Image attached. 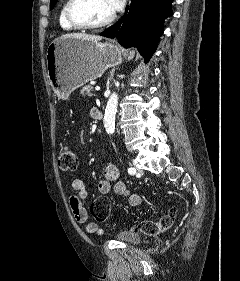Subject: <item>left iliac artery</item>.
<instances>
[{"mask_svg": "<svg viewBox=\"0 0 240 281\" xmlns=\"http://www.w3.org/2000/svg\"><path fill=\"white\" fill-rule=\"evenodd\" d=\"M128 173L131 174V175H134L136 173V169L135 168H128Z\"/></svg>", "mask_w": 240, "mask_h": 281, "instance_id": "1", "label": "left iliac artery"}]
</instances>
